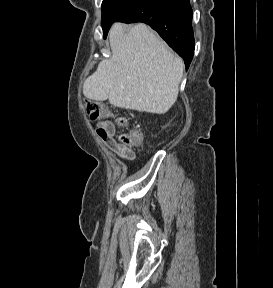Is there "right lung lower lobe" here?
<instances>
[{
    "mask_svg": "<svg viewBox=\"0 0 273 288\" xmlns=\"http://www.w3.org/2000/svg\"><path fill=\"white\" fill-rule=\"evenodd\" d=\"M117 21L150 25L189 68L195 46L189 0H137Z\"/></svg>",
    "mask_w": 273,
    "mask_h": 288,
    "instance_id": "98d812e1",
    "label": "right lung lower lobe"
}]
</instances>
